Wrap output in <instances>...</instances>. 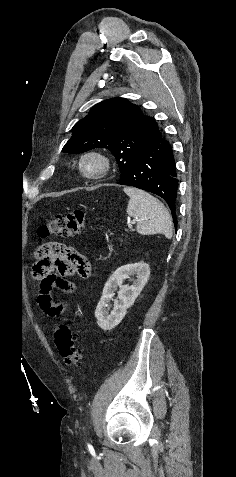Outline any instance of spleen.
I'll return each instance as SVG.
<instances>
[{
	"mask_svg": "<svg viewBox=\"0 0 236 477\" xmlns=\"http://www.w3.org/2000/svg\"><path fill=\"white\" fill-rule=\"evenodd\" d=\"M123 190L130 198L127 214L136 219L138 233L143 235L160 233L171 239L172 220L165 206L143 190L131 187H125Z\"/></svg>",
	"mask_w": 236,
	"mask_h": 477,
	"instance_id": "spleen-1",
	"label": "spleen"
}]
</instances>
